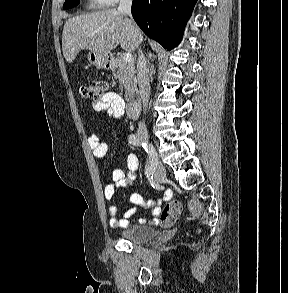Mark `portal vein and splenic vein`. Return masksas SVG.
I'll list each match as a JSON object with an SVG mask.
<instances>
[{
    "instance_id": "18ae733b",
    "label": "portal vein and splenic vein",
    "mask_w": 288,
    "mask_h": 293,
    "mask_svg": "<svg viewBox=\"0 0 288 293\" xmlns=\"http://www.w3.org/2000/svg\"><path fill=\"white\" fill-rule=\"evenodd\" d=\"M121 57L124 62H132L133 61V56L131 53H124Z\"/></svg>"
}]
</instances>
